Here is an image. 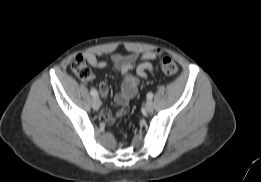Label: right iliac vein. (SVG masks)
Returning <instances> with one entry per match:
<instances>
[{
	"label": "right iliac vein",
	"instance_id": "1",
	"mask_svg": "<svg viewBox=\"0 0 261 182\" xmlns=\"http://www.w3.org/2000/svg\"><path fill=\"white\" fill-rule=\"evenodd\" d=\"M92 108L98 110L101 106V102L98 97H93L91 101Z\"/></svg>",
	"mask_w": 261,
	"mask_h": 182
}]
</instances>
